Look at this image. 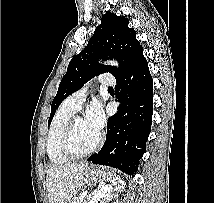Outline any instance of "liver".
Segmentation results:
<instances>
[{
  "label": "liver",
  "mask_w": 214,
  "mask_h": 203,
  "mask_svg": "<svg viewBox=\"0 0 214 203\" xmlns=\"http://www.w3.org/2000/svg\"><path fill=\"white\" fill-rule=\"evenodd\" d=\"M86 162L50 166L46 182L49 203H70L83 185Z\"/></svg>",
  "instance_id": "6515ba94"
}]
</instances>
